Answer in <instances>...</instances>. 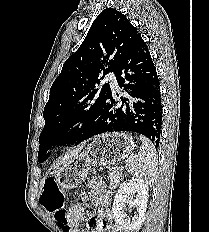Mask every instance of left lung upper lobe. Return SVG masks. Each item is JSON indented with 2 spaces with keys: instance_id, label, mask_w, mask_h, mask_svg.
<instances>
[{
  "instance_id": "left-lung-upper-lobe-1",
  "label": "left lung upper lobe",
  "mask_w": 209,
  "mask_h": 232,
  "mask_svg": "<svg viewBox=\"0 0 209 232\" xmlns=\"http://www.w3.org/2000/svg\"><path fill=\"white\" fill-rule=\"evenodd\" d=\"M141 38L137 29L116 9H104L94 20L79 49L63 65L50 88L44 108L45 126L40 134L39 161L46 160L54 145L81 143L100 116L111 95L109 72L117 75L134 44ZM82 122L81 127H72Z\"/></svg>"
}]
</instances>
